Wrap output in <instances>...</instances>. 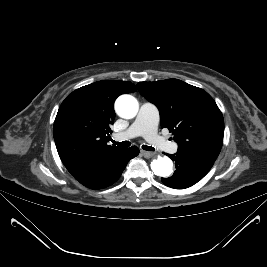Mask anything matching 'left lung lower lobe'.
Wrapping results in <instances>:
<instances>
[{
    "instance_id": "obj_1",
    "label": "left lung lower lobe",
    "mask_w": 267,
    "mask_h": 267,
    "mask_svg": "<svg viewBox=\"0 0 267 267\" xmlns=\"http://www.w3.org/2000/svg\"><path fill=\"white\" fill-rule=\"evenodd\" d=\"M175 162L176 171L169 178H161L171 188L185 189L202 179L213 166L215 160L205 156L178 150L176 154H166Z\"/></svg>"
}]
</instances>
